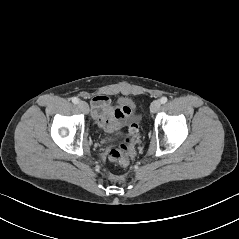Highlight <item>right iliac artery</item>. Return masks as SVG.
<instances>
[{"mask_svg":"<svg viewBox=\"0 0 239 239\" xmlns=\"http://www.w3.org/2000/svg\"><path fill=\"white\" fill-rule=\"evenodd\" d=\"M72 102H73L74 104H78V103H79V99H78L77 97H73V98H72Z\"/></svg>","mask_w":239,"mask_h":239,"instance_id":"obj_1","label":"right iliac artery"}]
</instances>
